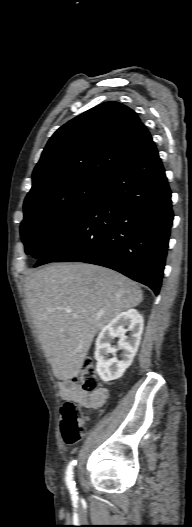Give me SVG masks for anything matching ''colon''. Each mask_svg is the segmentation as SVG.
Here are the masks:
<instances>
[{"mask_svg": "<svg viewBox=\"0 0 192 527\" xmlns=\"http://www.w3.org/2000/svg\"><path fill=\"white\" fill-rule=\"evenodd\" d=\"M73 381L84 391L92 392L98 389V379L94 363L86 359ZM86 430L79 409L72 401H66L61 406V433L64 442L72 445L78 442Z\"/></svg>", "mask_w": 192, "mask_h": 527, "instance_id": "obj_1", "label": "colon"}]
</instances>
